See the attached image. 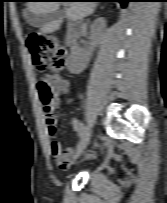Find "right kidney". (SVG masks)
Masks as SVG:
<instances>
[{"label":"right kidney","mask_w":167,"mask_h":203,"mask_svg":"<svg viewBox=\"0 0 167 203\" xmlns=\"http://www.w3.org/2000/svg\"><path fill=\"white\" fill-rule=\"evenodd\" d=\"M106 26L105 18L100 17L92 24V29L100 33ZM90 50H82L77 45L72 47L71 54L68 59V70L72 74L81 73L87 66L90 59Z\"/></svg>","instance_id":"ca27d5eb"}]
</instances>
